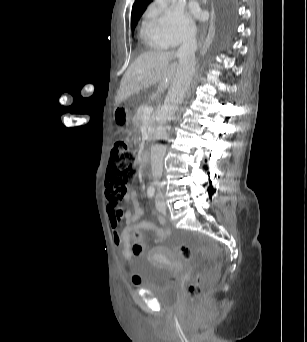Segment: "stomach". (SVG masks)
I'll list each match as a JSON object with an SVG mask.
<instances>
[{
	"instance_id": "stomach-1",
	"label": "stomach",
	"mask_w": 307,
	"mask_h": 342,
	"mask_svg": "<svg viewBox=\"0 0 307 342\" xmlns=\"http://www.w3.org/2000/svg\"><path fill=\"white\" fill-rule=\"evenodd\" d=\"M114 119L119 125H128L130 123V115L127 110L116 108L114 111Z\"/></svg>"
}]
</instances>
